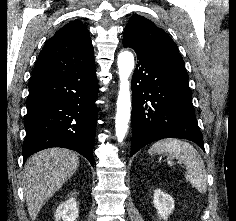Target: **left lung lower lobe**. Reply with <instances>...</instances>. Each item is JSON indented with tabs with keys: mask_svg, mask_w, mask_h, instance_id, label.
Returning a JSON list of instances; mask_svg holds the SVG:
<instances>
[{
	"mask_svg": "<svg viewBox=\"0 0 236 221\" xmlns=\"http://www.w3.org/2000/svg\"><path fill=\"white\" fill-rule=\"evenodd\" d=\"M134 49L137 65L132 78V148L139 149L162 138H183L204 150L202 133L195 118L192 92L185 68Z\"/></svg>",
	"mask_w": 236,
	"mask_h": 221,
	"instance_id": "0a47b994",
	"label": "left lung lower lobe"
}]
</instances>
